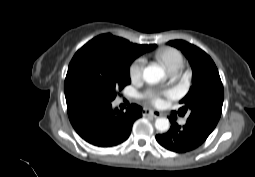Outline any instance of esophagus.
Segmentation results:
<instances>
[{"instance_id": "esophagus-1", "label": "esophagus", "mask_w": 255, "mask_h": 177, "mask_svg": "<svg viewBox=\"0 0 255 177\" xmlns=\"http://www.w3.org/2000/svg\"><path fill=\"white\" fill-rule=\"evenodd\" d=\"M143 114H144L145 116H152V117H154V118H158V117L161 116V113H160V112L155 111V110H151V109H144V110H143Z\"/></svg>"}]
</instances>
